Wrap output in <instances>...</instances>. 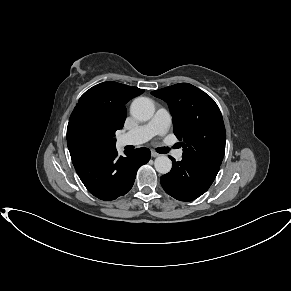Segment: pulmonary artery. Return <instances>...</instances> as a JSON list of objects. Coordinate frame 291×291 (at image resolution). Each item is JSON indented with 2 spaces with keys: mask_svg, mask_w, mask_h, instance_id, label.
Masks as SVG:
<instances>
[{
  "mask_svg": "<svg viewBox=\"0 0 291 291\" xmlns=\"http://www.w3.org/2000/svg\"><path fill=\"white\" fill-rule=\"evenodd\" d=\"M171 124V115L165 108H159L153 118L146 124L120 135L117 139L119 146L139 145L150 140L155 135L165 134ZM183 150H176L174 157L182 158Z\"/></svg>",
  "mask_w": 291,
  "mask_h": 291,
  "instance_id": "pulmonary-artery-1",
  "label": "pulmonary artery"
}]
</instances>
